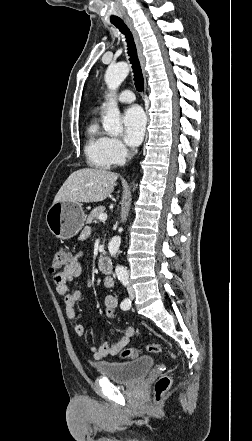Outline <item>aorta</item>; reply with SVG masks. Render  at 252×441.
I'll return each instance as SVG.
<instances>
[{"mask_svg": "<svg viewBox=\"0 0 252 441\" xmlns=\"http://www.w3.org/2000/svg\"><path fill=\"white\" fill-rule=\"evenodd\" d=\"M129 73V66L125 62L110 65L105 73V82L107 87L115 92L121 83L125 80ZM103 128L105 131L112 135L118 136L122 133L123 127L120 121V111L115 101L110 102V106L103 117ZM121 244V237L114 236L109 242V253L112 257H116L119 253V247ZM116 275L118 277L127 276V270L122 265H117L115 268Z\"/></svg>", "mask_w": 252, "mask_h": 441, "instance_id": "762f6f07", "label": "aorta"}]
</instances>
